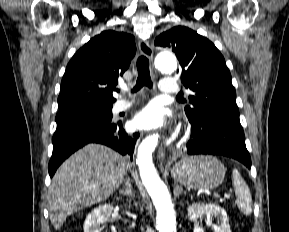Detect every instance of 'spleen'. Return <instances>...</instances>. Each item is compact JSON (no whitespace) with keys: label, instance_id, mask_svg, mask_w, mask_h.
I'll list each match as a JSON object with an SVG mask.
<instances>
[{"label":"spleen","instance_id":"3e777b00","mask_svg":"<svg viewBox=\"0 0 289 232\" xmlns=\"http://www.w3.org/2000/svg\"><path fill=\"white\" fill-rule=\"evenodd\" d=\"M233 186L236 194V204L240 211L246 216L252 213V197L250 189L241 177L238 171H234L232 175Z\"/></svg>","mask_w":289,"mask_h":232}]
</instances>
